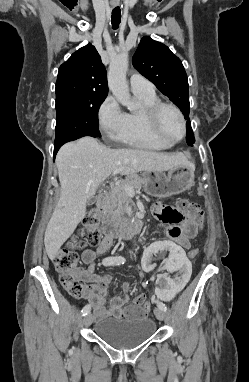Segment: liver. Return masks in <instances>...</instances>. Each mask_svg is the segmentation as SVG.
Returning <instances> with one entry per match:
<instances>
[{
  "mask_svg": "<svg viewBox=\"0 0 249 382\" xmlns=\"http://www.w3.org/2000/svg\"><path fill=\"white\" fill-rule=\"evenodd\" d=\"M56 165L61 195L44 236L45 249L51 260L85 217L87 201L115 169H120L121 175L140 171L163 172L177 166L195 169L182 153L111 149L89 136L63 145L56 156Z\"/></svg>",
  "mask_w": 249,
  "mask_h": 382,
  "instance_id": "6515ba94",
  "label": "liver"
}]
</instances>
